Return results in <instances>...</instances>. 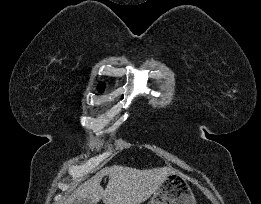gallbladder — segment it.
Masks as SVG:
<instances>
[{"mask_svg": "<svg viewBox=\"0 0 261 204\" xmlns=\"http://www.w3.org/2000/svg\"><path fill=\"white\" fill-rule=\"evenodd\" d=\"M73 204H93V203L90 199L79 198V199H76Z\"/></svg>", "mask_w": 261, "mask_h": 204, "instance_id": "bac80fb5", "label": "gallbladder"}]
</instances>
